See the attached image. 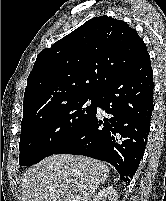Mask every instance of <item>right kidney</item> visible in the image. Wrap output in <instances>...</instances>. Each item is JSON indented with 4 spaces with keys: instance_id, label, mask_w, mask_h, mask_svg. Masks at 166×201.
Listing matches in <instances>:
<instances>
[{
    "instance_id": "ca27d5eb",
    "label": "right kidney",
    "mask_w": 166,
    "mask_h": 201,
    "mask_svg": "<svg viewBox=\"0 0 166 201\" xmlns=\"http://www.w3.org/2000/svg\"><path fill=\"white\" fill-rule=\"evenodd\" d=\"M118 194L113 186H108L103 188L96 194L93 198V201H116Z\"/></svg>"
}]
</instances>
